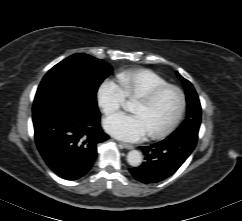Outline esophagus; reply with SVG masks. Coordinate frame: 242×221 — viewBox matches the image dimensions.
<instances>
[{"label":"esophagus","mask_w":242,"mask_h":221,"mask_svg":"<svg viewBox=\"0 0 242 221\" xmlns=\"http://www.w3.org/2000/svg\"><path fill=\"white\" fill-rule=\"evenodd\" d=\"M119 145L122 147V148H125V149H128V150H131L134 148L133 145L131 144H127V143H124V142H120Z\"/></svg>","instance_id":"obj_1"}]
</instances>
